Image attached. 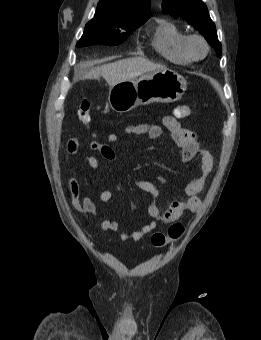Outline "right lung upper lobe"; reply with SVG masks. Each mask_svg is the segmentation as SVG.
Masks as SVG:
<instances>
[{
    "label": "right lung upper lobe",
    "mask_w": 261,
    "mask_h": 340,
    "mask_svg": "<svg viewBox=\"0 0 261 340\" xmlns=\"http://www.w3.org/2000/svg\"><path fill=\"white\" fill-rule=\"evenodd\" d=\"M150 0H100L95 14L109 19H148Z\"/></svg>",
    "instance_id": "1"
}]
</instances>
